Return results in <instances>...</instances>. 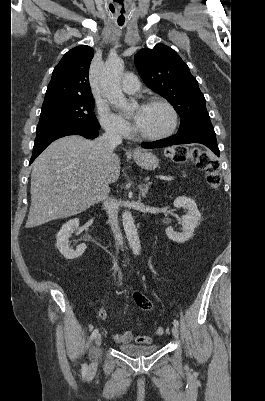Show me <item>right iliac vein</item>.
<instances>
[{"label": "right iliac vein", "instance_id": "1", "mask_svg": "<svg viewBox=\"0 0 265 401\" xmlns=\"http://www.w3.org/2000/svg\"><path fill=\"white\" fill-rule=\"evenodd\" d=\"M101 342H102V335L100 334V333H98L97 335H96V337H95V342H94V344H95V346L97 347V348H99L100 347V345H101ZM97 366H98V364H97V358H96V356H91V362H90V364L88 365V372H89V374H91L92 372H94L96 369H97Z\"/></svg>", "mask_w": 265, "mask_h": 401}]
</instances>
